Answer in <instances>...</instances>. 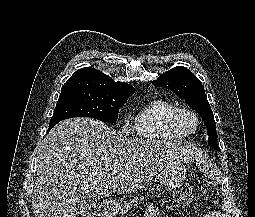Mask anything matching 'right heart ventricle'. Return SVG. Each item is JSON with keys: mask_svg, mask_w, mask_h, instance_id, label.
Here are the masks:
<instances>
[{"mask_svg": "<svg viewBox=\"0 0 255 217\" xmlns=\"http://www.w3.org/2000/svg\"><path fill=\"white\" fill-rule=\"evenodd\" d=\"M178 107L164 98H154L144 104L134 116V131L142 138L177 140L184 136L172 125L171 115Z\"/></svg>", "mask_w": 255, "mask_h": 217, "instance_id": "right-heart-ventricle-1", "label": "right heart ventricle"}]
</instances>
